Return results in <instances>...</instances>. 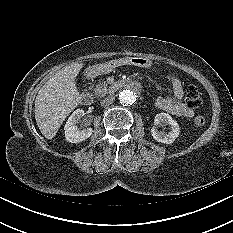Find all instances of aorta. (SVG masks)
<instances>
[{"label": "aorta", "instance_id": "aorta-1", "mask_svg": "<svg viewBox=\"0 0 233 233\" xmlns=\"http://www.w3.org/2000/svg\"><path fill=\"white\" fill-rule=\"evenodd\" d=\"M141 92L138 83H131L119 93V101L123 105H132L140 98Z\"/></svg>", "mask_w": 233, "mask_h": 233}]
</instances>
